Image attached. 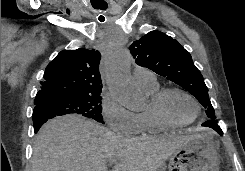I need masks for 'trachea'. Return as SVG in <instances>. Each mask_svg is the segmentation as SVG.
Returning a JSON list of instances; mask_svg holds the SVG:
<instances>
[{"label":"trachea","mask_w":245,"mask_h":171,"mask_svg":"<svg viewBox=\"0 0 245 171\" xmlns=\"http://www.w3.org/2000/svg\"><path fill=\"white\" fill-rule=\"evenodd\" d=\"M99 1V0H98ZM101 2H98L94 5L95 9L105 10L107 8V3L100 0ZM105 18L99 17L100 22H104Z\"/></svg>","instance_id":"1"}]
</instances>
